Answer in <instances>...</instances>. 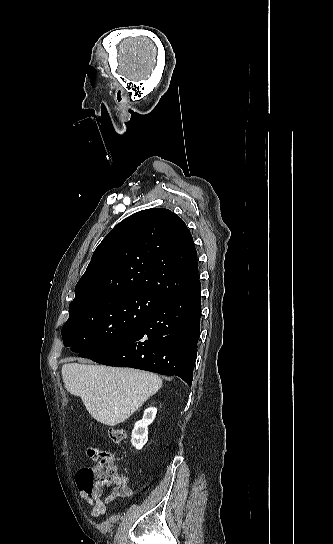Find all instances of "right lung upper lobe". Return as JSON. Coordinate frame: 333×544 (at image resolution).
Returning <instances> with one entry per match:
<instances>
[{"instance_id":"obj_1","label":"right lung upper lobe","mask_w":333,"mask_h":544,"mask_svg":"<svg viewBox=\"0 0 333 544\" xmlns=\"http://www.w3.org/2000/svg\"><path fill=\"white\" fill-rule=\"evenodd\" d=\"M200 283L186 224L164 208L139 211L117 224L93 253L71 302L122 293L167 299Z\"/></svg>"}]
</instances>
